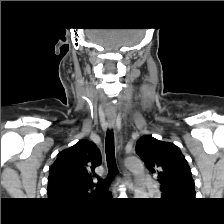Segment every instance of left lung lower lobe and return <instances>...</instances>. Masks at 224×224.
Segmentation results:
<instances>
[{
  "mask_svg": "<svg viewBox=\"0 0 224 224\" xmlns=\"http://www.w3.org/2000/svg\"><path fill=\"white\" fill-rule=\"evenodd\" d=\"M162 200H181L184 197H177V196H165L162 195Z\"/></svg>",
  "mask_w": 224,
  "mask_h": 224,
  "instance_id": "0a47b994",
  "label": "left lung lower lobe"
}]
</instances>
